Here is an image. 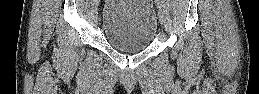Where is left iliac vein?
I'll use <instances>...</instances> for the list:
<instances>
[{
    "instance_id": "4c4485c4",
    "label": "left iliac vein",
    "mask_w": 259,
    "mask_h": 94,
    "mask_svg": "<svg viewBox=\"0 0 259 94\" xmlns=\"http://www.w3.org/2000/svg\"><path fill=\"white\" fill-rule=\"evenodd\" d=\"M158 15H159V21L161 24L165 23V12L162 8H159L158 10Z\"/></svg>"
}]
</instances>
